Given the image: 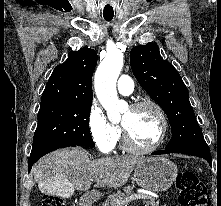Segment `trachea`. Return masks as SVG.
I'll return each instance as SVG.
<instances>
[{
  "label": "trachea",
  "mask_w": 221,
  "mask_h": 206,
  "mask_svg": "<svg viewBox=\"0 0 221 206\" xmlns=\"http://www.w3.org/2000/svg\"><path fill=\"white\" fill-rule=\"evenodd\" d=\"M104 19L106 21H111L113 19V16H104Z\"/></svg>",
  "instance_id": "3493384b"
}]
</instances>
